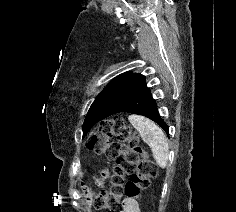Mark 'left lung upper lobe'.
Returning <instances> with one entry per match:
<instances>
[{
  "mask_svg": "<svg viewBox=\"0 0 236 212\" xmlns=\"http://www.w3.org/2000/svg\"><path fill=\"white\" fill-rule=\"evenodd\" d=\"M131 72L123 73L114 78L96 97L92 103L83 124V136L99 121V117L106 109L109 103L120 92L125 82L131 77Z\"/></svg>",
  "mask_w": 236,
  "mask_h": 212,
  "instance_id": "1",
  "label": "left lung upper lobe"
}]
</instances>
